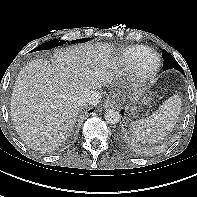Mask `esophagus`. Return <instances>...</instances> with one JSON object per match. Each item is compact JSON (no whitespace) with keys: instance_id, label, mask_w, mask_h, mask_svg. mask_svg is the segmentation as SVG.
I'll return each instance as SVG.
<instances>
[{"instance_id":"1","label":"esophagus","mask_w":197,"mask_h":197,"mask_svg":"<svg viewBox=\"0 0 197 197\" xmlns=\"http://www.w3.org/2000/svg\"><path fill=\"white\" fill-rule=\"evenodd\" d=\"M117 102L114 99H107L104 103V106L107 107H115Z\"/></svg>"}]
</instances>
